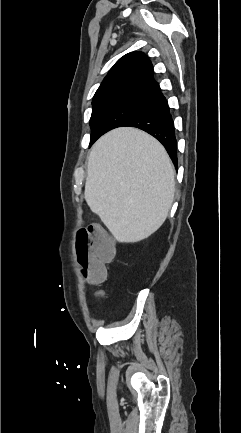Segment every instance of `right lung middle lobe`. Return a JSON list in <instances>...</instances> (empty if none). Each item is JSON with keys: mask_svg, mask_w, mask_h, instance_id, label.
Segmentation results:
<instances>
[{"mask_svg": "<svg viewBox=\"0 0 241 433\" xmlns=\"http://www.w3.org/2000/svg\"><path fill=\"white\" fill-rule=\"evenodd\" d=\"M152 97L125 94L92 102L90 145L109 130L127 123L147 106Z\"/></svg>", "mask_w": 241, "mask_h": 433, "instance_id": "obj_1", "label": "right lung middle lobe"}]
</instances>
